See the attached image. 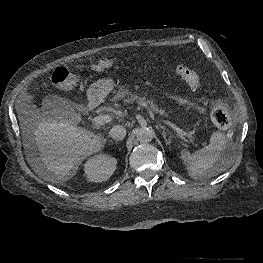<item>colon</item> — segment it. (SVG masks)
Returning <instances> with one entry per match:
<instances>
[{
    "label": "colon",
    "instance_id": "colon-1",
    "mask_svg": "<svg viewBox=\"0 0 263 263\" xmlns=\"http://www.w3.org/2000/svg\"><path fill=\"white\" fill-rule=\"evenodd\" d=\"M116 63L115 59H103L91 66L90 71L94 73L103 72L111 68ZM176 75L181 77L192 91H196L199 86V77L195 71L183 65H176L171 69ZM52 83L60 87H72L76 85L79 76L69 72L65 68H58L51 77ZM211 120L221 129H230L232 122L227 109L218 102L211 103Z\"/></svg>",
    "mask_w": 263,
    "mask_h": 263
}]
</instances>
